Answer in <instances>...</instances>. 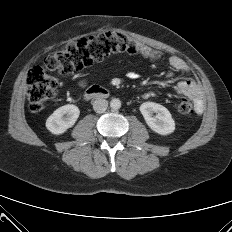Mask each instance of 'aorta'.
<instances>
[{
	"instance_id": "1",
	"label": "aorta",
	"mask_w": 232,
	"mask_h": 232,
	"mask_svg": "<svg viewBox=\"0 0 232 232\" xmlns=\"http://www.w3.org/2000/svg\"><path fill=\"white\" fill-rule=\"evenodd\" d=\"M110 107H111L113 110H118V109H120V107H121V101H120L118 98H113V99L110 101Z\"/></svg>"
}]
</instances>
